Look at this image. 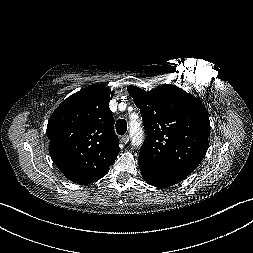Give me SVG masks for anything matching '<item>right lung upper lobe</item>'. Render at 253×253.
<instances>
[{
  "mask_svg": "<svg viewBox=\"0 0 253 253\" xmlns=\"http://www.w3.org/2000/svg\"><path fill=\"white\" fill-rule=\"evenodd\" d=\"M113 95L104 85L84 88L63 101L48 121L52 160L74 183L104 177L120 152L109 109Z\"/></svg>",
  "mask_w": 253,
  "mask_h": 253,
  "instance_id": "obj_1",
  "label": "right lung upper lobe"
}]
</instances>
